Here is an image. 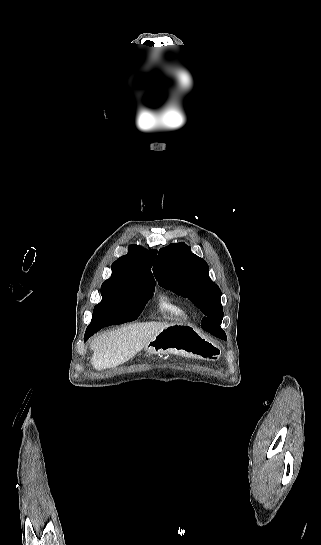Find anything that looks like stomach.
<instances>
[{"mask_svg": "<svg viewBox=\"0 0 321 545\" xmlns=\"http://www.w3.org/2000/svg\"><path fill=\"white\" fill-rule=\"evenodd\" d=\"M148 355H182L196 359H219L220 347L208 341L187 323H170L145 345Z\"/></svg>", "mask_w": 321, "mask_h": 545, "instance_id": "1", "label": "stomach"}]
</instances>
